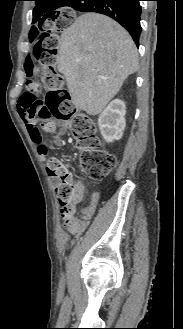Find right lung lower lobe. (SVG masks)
<instances>
[{"mask_svg":"<svg viewBox=\"0 0 183 329\" xmlns=\"http://www.w3.org/2000/svg\"><path fill=\"white\" fill-rule=\"evenodd\" d=\"M140 0H72L70 7L81 12H96L107 15L128 30L132 39L139 45L141 33Z\"/></svg>","mask_w":183,"mask_h":329,"instance_id":"1","label":"right lung lower lobe"}]
</instances>
